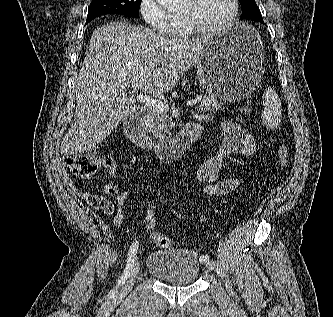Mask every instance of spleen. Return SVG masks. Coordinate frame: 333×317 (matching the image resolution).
I'll return each instance as SVG.
<instances>
[{"label":"spleen","mask_w":333,"mask_h":317,"mask_svg":"<svg viewBox=\"0 0 333 317\" xmlns=\"http://www.w3.org/2000/svg\"><path fill=\"white\" fill-rule=\"evenodd\" d=\"M264 111L261 114L262 123L275 129L280 125L282 118V106L281 101L276 91L268 87L263 93Z\"/></svg>","instance_id":"obj_1"}]
</instances>
